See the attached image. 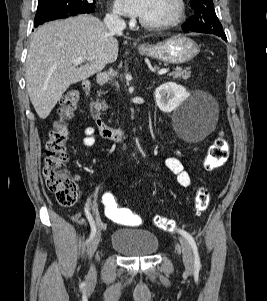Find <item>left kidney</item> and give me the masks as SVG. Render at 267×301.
<instances>
[{
	"mask_svg": "<svg viewBox=\"0 0 267 301\" xmlns=\"http://www.w3.org/2000/svg\"><path fill=\"white\" fill-rule=\"evenodd\" d=\"M155 101L163 112L173 111L187 96L186 89L174 82H167L155 90Z\"/></svg>",
	"mask_w": 267,
	"mask_h": 301,
	"instance_id": "obj_1",
	"label": "left kidney"
}]
</instances>
